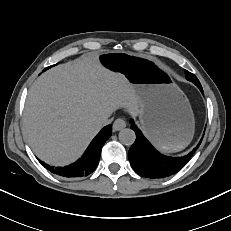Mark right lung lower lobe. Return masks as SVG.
<instances>
[{
	"label": "right lung lower lobe",
	"mask_w": 231,
	"mask_h": 231,
	"mask_svg": "<svg viewBox=\"0 0 231 231\" xmlns=\"http://www.w3.org/2000/svg\"><path fill=\"white\" fill-rule=\"evenodd\" d=\"M112 134V126L104 127L92 140L83 156L75 163L66 167H52L39 161L52 173L68 178L83 177L91 174L97 167L102 147Z\"/></svg>",
	"instance_id": "obj_1"
}]
</instances>
